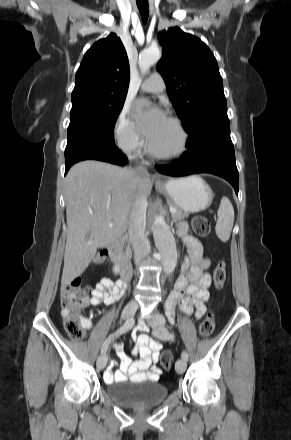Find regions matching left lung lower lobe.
Returning a JSON list of instances; mask_svg holds the SVG:
<instances>
[{
  "mask_svg": "<svg viewBox=\"0 0 291 440\" xmlns=\"http://www.w3.org/2000/svg\"><path fill=\"white\" fill-rule=\"evenodd\" d=\"M186 146L189 150L181 155L178 162L156 165V169L173 177L214 174L230 182L238 195L239 174L229 125L210 128L199 139L187 142Z\"/></svg>",
  "mask_w": 291,
  "mask_h": 440,
  "instance_id": "1",
  "label": "left lung lower lobe"
}]
</instances>
